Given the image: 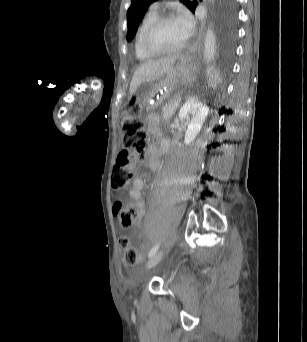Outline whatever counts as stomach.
<instances>
[{
    "instance_id": "0dacf381",
    "label": "stomach",
    "mask_w": 307,
    "mask_h": 342,
    "mask_svg": "<svg viewBox=\"0 0 307 342\" xmlns=\"http://www.w3.org/2000/svg\"><path fill=\"white\" fill-rule=\"evenodd\" d=\"M191 56H179L170 70L160 78L146 82L137 89L140 106L153 110L166 100L180 99L194 80Z\"/></svg>"
}]
</instances>
